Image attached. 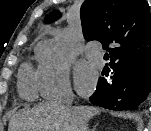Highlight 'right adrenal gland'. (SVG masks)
Returning <instances> with one entry per match:
<instances>
[{
    "instance_id": "2a0ac1e0",
    "label": "right adrenal gland",
    "mask_w": 151,
    "mask_h": 131,
    "mask_svg": "<svg viewBox=\"0 0 151 131\" xmlns=\"http://www.w3.org/2000/svg\"><path fill=\"white\" fill-rule=\"evenodd\" d=\"M96 126H97V125H95V126L93 127V129H92L91 131H95V129H96Z\"/></svg>"
}]
</instances>
